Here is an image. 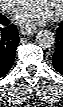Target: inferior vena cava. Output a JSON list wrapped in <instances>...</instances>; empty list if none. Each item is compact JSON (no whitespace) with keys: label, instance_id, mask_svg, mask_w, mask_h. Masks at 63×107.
Wrapping results in <instances>:
<instances>
[{"label":"inferior vena cava","instance_id":"1","mask_svg":"<svg viewBox=\"0 0 63 107\" xmlns=\"http://www.w3.org/2000/svg\"><path fill=\"white\" fill-rule=\"evenodd\" d=\"M10 7H6V9L8 10Z\"/></svg>","mask_w":63,"mask_h":107}]
</instances>
